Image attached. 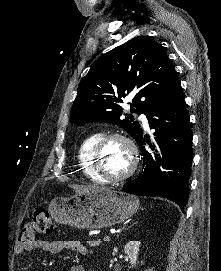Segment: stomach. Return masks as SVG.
Here are the masks:
<instances>
[{
	"instance_id": "0dacf381",
	"label": "stomach",
	"mask_w": 221,
	"mask_h": 271,
	"mask_svg": "<svg viewBox=\"0 0 221 271\" xmlns=\"http://www.w3.org/2000/svg\"><path fill=\"white\" fill-rule=\"evenodd\" d=\"M49 205L59 223L78 229H99L132 217L139 207V199L121 189H96L79 197H54Z\"/></svg>"
}]
</instances>
